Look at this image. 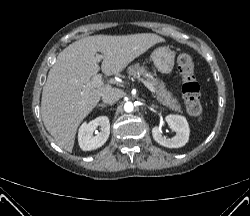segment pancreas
<instances>
[{
  "label": "pancreas",
  "instance_id": "obj_1",
  "mask_svg": "<svg viewBox=\"0 0 250 216\" xmlns=\"http://www.w3.org/2000/svg\"><path fill=\"white\" fill-rule=\"evenodd\" d=\"M129 76L136 77L137 75L143 76L148 83L155 89L154 97L159 103L170 108L173 111L182 113L181 106L178 99L175 98L170 91L165 87L164 82L156 77L155 74L149 72L145 66L134 64L127 69Z\"/></svg>",
  "mask_w": 250,
  "mask_h": 216
}]
</instances>
